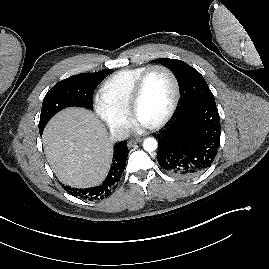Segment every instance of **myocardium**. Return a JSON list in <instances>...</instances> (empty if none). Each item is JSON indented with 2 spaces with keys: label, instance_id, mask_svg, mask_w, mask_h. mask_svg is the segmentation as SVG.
Here are the masks:
<instances>
[{
  "label": "myocardium",
  "instance_id": "f54148a6",
  "mask_svg": "<svg viewBox=\"0 0 269 269\" xmlns=\"http://www.w3.org/2000/svg\"><path fill=\"white\" fill-rule=\"evenodd\" d=\"M155 70L164 71L165 73H167L170 76V78L173 82V86H174V97H173L172 103H171L168 111L166 112V114L159 121H157L151 125H148L147 127L149 129H159V128L163 127L165 124H167L169 122V120L172 118V116L174 115V113L178 107V104L180 102V98H181L180 82H179L177 75L174 73V71L165 65H160V64L152 65V66L148 67L139 76V78L137 79V81L135 83V86L133 88L132 95L130 98V102H129V113L131 114V116L134 119H137V117H136L137 108H138L139 102H140L142 94H143L146 80H147L148 76Z\"/></svg>",
  "mask_w": 269,
  "mask_h": 269
}]
</instances>
